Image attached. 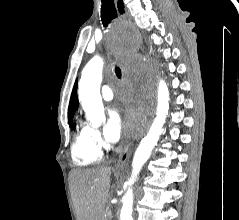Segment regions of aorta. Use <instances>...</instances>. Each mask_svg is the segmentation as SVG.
<instances>
[{"label":"aorta","mask_w":239,"mask_h":220,"mask_svg":"<svg viewBox=\"0 0 239 220\" xmlns=\"http://www.w3.org/2000/svg\"><path fill=\"white\" fill-rule=\"evenodd\" d=\"M114 40H136V33H114ZM136 46V45H115ZM103 60L100 57L92 58L82 71L79 83L78 97L86 113L87 120L92 126L98 127L105 119L104 107L100 94L102 82ZM159 65H157V69ZM169 110V91L165 81L158 80L156 116L144 138L137 147L133 161L132 173L127 181L128 190L122 198V208L119 220H133L134 193L132 186L137 181L139 173L150 158L157 145Z\"/></svg>","instance_id":"1"}]
</instances>
